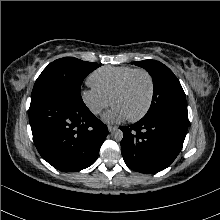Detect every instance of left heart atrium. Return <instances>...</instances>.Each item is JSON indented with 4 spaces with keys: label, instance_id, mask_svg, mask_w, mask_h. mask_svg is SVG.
I'll list each match as a JSON object with an SVG mask.
<instances>
[{
    "label": "left heart atrium",
    "instance_id": "left-heart-atrium-1",
    "mask_svg": "<svg viewBox=\"0 0 220 220\" xmlns=\"http://www.w3.org/2000/svg\"><path fill=\"white\" fill-rule=\"evenodd\" d=\"M129 118L127 113L119 106L114 105L111 110L106 112L103 119L110 123H117Z\"/></svg>",
    "mask_w": 220,
    "mask_h": 220
}]
</instances>
